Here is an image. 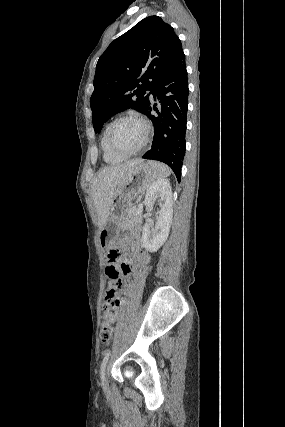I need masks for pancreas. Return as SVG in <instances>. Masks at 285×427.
I'll return each mask as SVG.
<instances>
[{
  "mask_svg": "<svg viewBox=\"0 0 285 427\" xmlns=\"http://www.w3.org/2000/svg\"><path fill=\"white\" fill-rule=\"evenodd\" d=\"M137 212H138V209H136V208H131V209L128 211L127 219H126L124 222H133V221H135V220L138 218V214H137Z\"/></svg>",
  "mask_w": 285,
  "mask_h": 427,
  "instance_id": "obj_1",
  "label": "pancreas"
}]
</instances>
